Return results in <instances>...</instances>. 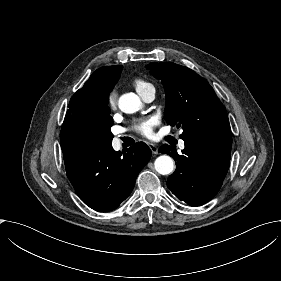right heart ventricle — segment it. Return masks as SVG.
Wrapping results in <instances>:
<instances>
[{"instance_id":"obj_1","label":"right heart ventricle","mask_w":281,"mask_h":281,"mask_svg":"<svg viewBox=\"0 0 281 281\" xmlns=\"http://www.w3.org/2000/svg\"><path fill=\"white\" fill-rule=\"evenodd\" d=\"M132 87L137 91L138 95L143 99L144 94L148 89L152 87L141 79H135L132 81Z\"/></svg>"}]
</instances>
